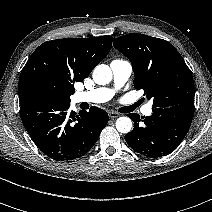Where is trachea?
I'll list each match as a JSON object with an SVG mask.
<instances>
[{"label": "trachea", "mask_w": 212, "mask_h": 212, "mask_svg": "<svg viewBox=\"0 0 212 212\" xmlns=\"http://www.w3.org/2000/svg\"><path fill=\"white\" fill-rule=\"evenodd\" d=\"M139 104L140 103L137 102L132 106L123 107L121 110H122L123 113H129V112L133 111Z\"/></svg>", "instance_id": "1"}]
</instances>
